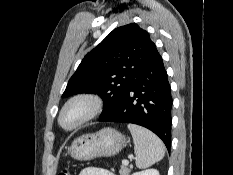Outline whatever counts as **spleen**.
Returning <instances> with one entry per match:
<instances>
[{
	"instance_id": "obj_1",
	"label": "spleen",
	"mask_w": 233,
	"mask_h": 175,
	"mask_svg": "<svg viewBox=\"0 0 233 175\" xmlns=\"http://www.w3.org/2000/svg\"><path fill=\"white\" fill-rule=\"evenodd\" d=\"M134 141L136 166L147 168L165 155L163 142L151 131L135 124H128Z\"/></svg>"
}]
</instances>
